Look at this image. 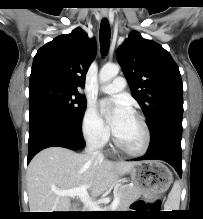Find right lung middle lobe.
Instances as JSON below:
<instances>
[{
  "instance_id": "obj_1",
  "label": "right lung middle lobe",
  "mask_w": 203,
  "mask_h": 219,
  "mask_svg": "<svg viewBox=\"0 0 203 219\" xmlns=\"http://www.w3.org/2000/svg\"><path fill=\"white\" fill-rule=\"evenodd\" d=\"M30 113L42 112L71 125L81 123L87 101L78 90L52 82L29 87Z\"/></svg>"
}]
</instances>
